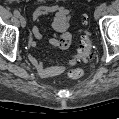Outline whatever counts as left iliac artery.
<instances>
[{
  "mask_svg": "<svg viewBox=\"0 0 119 119\" xmlns=\"http://www.w3.org/2000/svg\"><path fill=\"white\" fill-rule=\"evenodd\" d=\"M100 7L104 10V9H106L107 5H106V3H102V4L100 5Z\"/></svg>",
  "mask_w": 119,
  "mask_h": 119,
  "instance_id": "1",
  "label": "left iliac artery"
}]
</instances>
